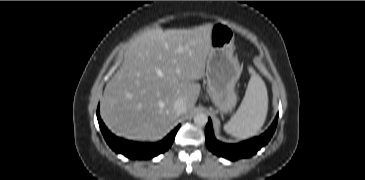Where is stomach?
Listing matches in <instances>:
<instances>
[{
  "label": "stomach",
  "mask_w": 365,
  "mask_h": 180,
  "mask_svg": "<svg viewBox=\"0 0 365 180\" xmlns=\"http://www.w3.org/2000/svg\"><path fill=\"white\" fill-rule=\"evenodd\" d=\"M210 42L206 65L209 97L220 113L225 114L237 103L235 85L242 71L237 57L233 54L232 28L224 22L212 24Z\"/></svg>",
  "instance_id": "obj_1"
}]
</instances>
